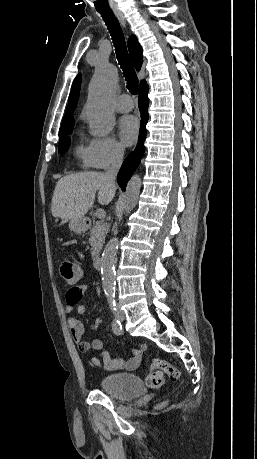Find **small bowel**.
<instances>
[{
    "label": "small bowel",
    "instance_id": "c3829d8e",
    "mask_svg": "<svg viewBox=\"0 0 257 459\" xmlns=\"http://www.w3.org/2000/svg\"><path fill=\"white\" fill-rule=\"evenodd\" d=\"M72 258H75L76 263L82 262V251L76 247L70 248ZM86 284L76 285L69 288L66 292V312L70 313L76 308L78 314H84L87 310L85 304L79 303L83 294L87 291ZM68 327L71 331L74 342L81 352H87L93 349L99 352L98 356L91 357L92 366L98 368L102 367L108 372H113L121 369L133 370L135 369L143 356L144 351L147 349L146 344H141L139 349H135L128 359H112L110 354L103 350V341L95 338L91 342L84 339L85 329L81 320L76 316H69Z\"/></svg>",
    "mask_w": 257,
    "mask_h": 459
}]
</instances>
